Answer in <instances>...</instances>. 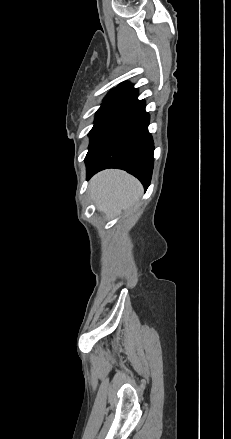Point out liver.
<instances>
[{
	"instance_id": "obj_1",
	"label": "liver",
	"mask_w": 231,
	"mask_h": 439,
	"mask_svg": "<svg viewBox=\"0 0 231 439\" xmlns=\"http://www.w3.org/2000/svg\"><path fill=\"white\" fill-rule=\"evenodd\" d=\"M90 191L98 210L113 217L121 209L134 208L143 188L136 178L125 171L109 169L91 179Z\"/></svg>"
}]
</instances>
